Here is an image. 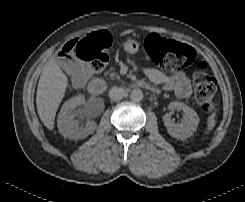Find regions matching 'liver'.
<instances>
[{
  "label": "liver",
  "mask_w": 245,
  "mask_h": 202,
  "mask_svg": "<svg viewBox=\"0 0 245 202\" xmlns=\"http://www.w3.org/2000/svg\"><path fill=\"white\" fill-rule=\"evenodd\" d=\"M133 30H126L121 35L128 34ZM68 87V77L54 62L49 61L40 76L37 94L36 107L38 115L46 128L52 130L58 107L65 96Z\"/></svg>",
  "instance_id": "1"
}]
</instances>
